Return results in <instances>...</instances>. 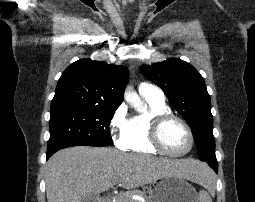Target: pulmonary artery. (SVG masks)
Returning <instances> with one entry per match:
<instances>
[{"label": "pulmonary artery", "instance_id": "pulmonary-artery-1", "mask_svg": "<svg viewBox=\"0 0 255 202\" xmlns=\"http://www.w3.org/2000/svg\"><path fill=\"white\" fill-rule=\"evenodd\" d=\"M139 93L144 98H149L158 102H164L165 100L162 90L159 87L147 82L140 84Z\"/></svg>", "mask_w": 255, "mask_h": 202}]
</instances>
